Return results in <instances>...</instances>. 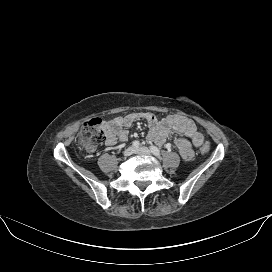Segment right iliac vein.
<instances>
[{
	"instance_id": "obj_1",
	"label": "right iliac vein",
	"mask_w": 272,
	"mask_h": 272,
	"mask_svg": "<svg viewBox=\"0 0 272 272\" xmlns=\"http://www.w3.org/2000/svg\"><path fill=\"white\" fill-rule=\"evenodd\" d=\"M134 153V148L133 147H128L124 151V156L129 157Z\"/></svg>"
}]
</instances>
